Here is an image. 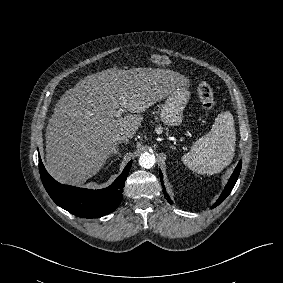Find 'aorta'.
Returning <instances> with one entry per match:
<instances>
[{
  "mask_svg": "<svg viewBox=\"0 0 283 283\" xmlns=\"http://www.w3.org/2000/svg\"><path fill=\"white\" fill-rule=\"evenodd\" d=\"M156 158L154 154L145 152L139 157V165L145 169H150L155 165Z\"/></svg>",
  "mask_w": 283,
  "mask_h": 283,
  "instance_id": "aorta-1",
  "label": "aorta"
}]
</instances>
